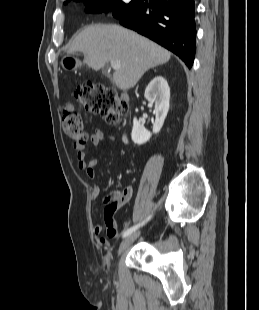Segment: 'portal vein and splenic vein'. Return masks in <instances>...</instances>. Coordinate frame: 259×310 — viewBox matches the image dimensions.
<instances>
[{"mask_svg":"<svg viewBox=\"0 0 259 310\" xmlns=\"http://www.w3.org/2000/svg\"><path fill=\"white\" fill-rule=\"evenodd\" d=\"M111 67L115 70L121 69V63L118 61H111Z\"/></svg>","mask_w":259,"mask_h":310,"instance_id":"obj_1","label":"portal vein and splenic vein"}]
</instances>
